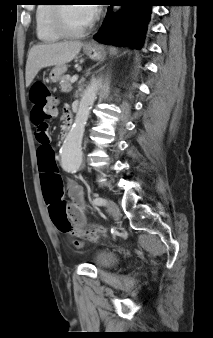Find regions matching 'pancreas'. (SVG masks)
I'll return each mask as SVG.
<instances>
[{
    "instance_id": "obj_1",
    "label": "pancreas",
    "mask_w": 213,
    "mask_h": 338,
    "mask_svg": "<svg viewBox=\"0 0 213 338\" xmlns=\"http://www.w3.org/2000/svg\"><path fill=\"white\" fill-rule=\"evenodd\" d=\"M70 80L71 78L68 75H65L61 78V81H60L61 92L67 93L72 90Z\"/></svg>"
}]
</instances>
